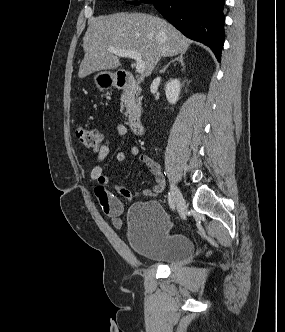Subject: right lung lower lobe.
I'll list each match as a JSON object with an SVG mask.
<instances>
[{
  "label": "right lung lower lobe",
  "instance_id": "1",
  "mask_svg": "<svg viewBox=\"0 0 285 332\" xmlns=\"http://www.w3.org/2000/svg\"><path fill=\"white\" fill-rule=\"evenodd\" d=\"M156 9L190 39L209 46L220 61L224 0H153Z\"/></svg>",
  "mask_w": 285,
  "mask_h": 332
}]
</instances>
